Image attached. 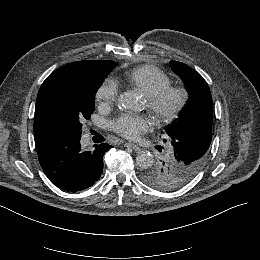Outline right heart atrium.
<instances>
[{
	"instance_id": "d8ad5b80",
	"label": "right heart atrium",
	"mask_w": 260,
	"mask_h": 260,
	"mask_svg": "<svg viewBox=\"0 0 260 260\" xmlns=\"http://www.w3.org/2000/svg\"><path fill=\"white\" fill-rule=\"evenodd\" d=\"M117 94V83L111 78H106L98 86L95 96L98 101L106 106H110L113 104Z\"/></svg>"
}]
</instances>
